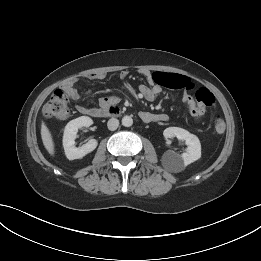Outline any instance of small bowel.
Instances as JSON below:
<instances>
[{
    "mask_svg": "<svg viewBox=\"0 0 261 261\" xmlns=\"http://www.w3.org/2000/svg\"><path fill=\"white\" fill-rule=\"evenodd\" d=\"M127 71H122L120 73V77L122 79L127 77ZM141 74L146 79L147 85H141L139 87V93L148 101H152L156 98V96L161 92L162 86L172 88V89H185V92L182 96L183 102L187 105L190 113L195 118H200L204 109H201L197 101L194 100L190 91L193 89V85L190 83V79L186 76L172 73H164V72H150L149 70H142ZM105 73L103 72H94L87 76L89 80H102L105 78ZM77 80L71 79L67 81L63 85V89L73 100L80 99V93L76 88ZM114 100L110 97H105L100 100L101 108H107L110 106ZM76 109L78 112L86 115H92L93 112L99 110L97 108L85 107L83 105H77ZM141 118H147V122H165L168 120V116L166 114H153L150 112H142Z\"/></svg>",
    "mask_w": 261,
    "mask_h": 261,
    "instance_id": "c3829d8e",
    "label": "small bowel"
}]
</instances>
